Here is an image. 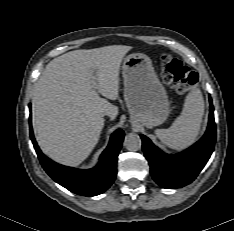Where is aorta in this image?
Instances as JSON below:
<instances>
[{
	"label": "aorta",
	"mask_w": 234,
	"mask_h": 231,
	"mask_svg": "<svg viewBox=\"0 0 234 231\" xmlns=\"http://www.w3.org/2000/svg\"><path fill=\"white\" fill-rule=\"evenodd\" d=\"M124 146L129 151H137L141 148V138L136 133H129L125 136Z\"/></svg>",
	"instance_id": "obj_1"
}]
</instances>
